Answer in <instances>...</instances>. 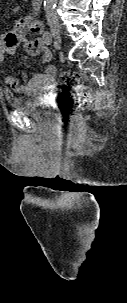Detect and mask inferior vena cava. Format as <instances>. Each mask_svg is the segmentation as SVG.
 <instances>
[{
	"label": "inferior vena cava",
	"instance_id": "obj_1",
	"mask_svg": "<svg viewBox=\"0 0 127 303\" xmlns=\"http://www.w3.org/2000/svg\"><path fill=\"white\" fill-rule=\"evenodd\" d=\"M52 17L55 18V19H57V16H56L55 13L52 14Z\"/></svg>",
	"mask_w": 127,
	"mask_h": 303
}]
</instances>
